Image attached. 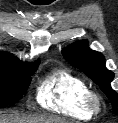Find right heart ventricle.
<instances>
[{
	"instance_id": "1",
	"label": "right heart ventricle",
	"mask_w": 118,
	"mask_h": 123,
	"mask_svg": "<svg viewBox=\"0 0 118 123\" xmlns=\"http://www.w3.org/2000/svg\"><path fill=\"white\" fill-rule=\"evenodd\" d=\"M90 91L79 76L64 69H56L45 76L37 90L41 107L54 113L80 120L94 116L85 105V96Z\"/></svg>"
}]
</instances>
